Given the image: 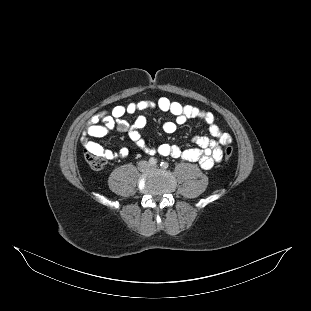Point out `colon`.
Segmentation results:
<instances>
[{"label":"colon","instance_id":"obj_1","mask_svg":"<svg viewBox=\"0 0 311 311\" xmlns=\"http://www.w3.org/2000/svg\"><path fill=\"white\" fill-rule=\"evenodd\" d=\"M232 155H233V148L231 146H227L224 149L223 153L224 160L226 161L229 160L232 157ZM85 159L89 164V166L95 170L103 168L106 163V158L103 155L89 150L85 151Z\"/></svg>","mask_w":311,"mask_h":311}]
</instances>
